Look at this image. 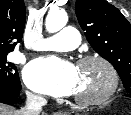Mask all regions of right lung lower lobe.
Here are the masks:
<instances>
[{"mask_svg":"<svg viewBox=\"0 0 131 115\" xmlns=\"http://www.w3.org/2000/svg\"><path fill=\"white\" fill-rule=\"evenodd\" d=\"M21 90L20 82L10 90L0 91V102L4 104L12 105L18 101L17 97Z\"/></svg>","mask_w":131,"mask_h":115,"instance_id":"1","label":"right lung lower lobe"}]
</instances>
